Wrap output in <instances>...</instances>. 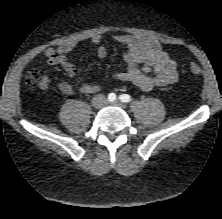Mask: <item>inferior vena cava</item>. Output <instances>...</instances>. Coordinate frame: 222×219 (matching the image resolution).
Masks as SVG:
<instances>
[{
    "label": "inferior vena cava",
    "mask_w": 222,
    "mask_h": 219,
    "mask_svg": "<svg viewBox=\"0 0 222 219\" xmlns=\"http://www.w3.org/2000/svg\"><path fill=\"white\" fill-rule=\"evenodd\" d=\"M97 98L104 102V99H105L104 95H98Z\"/></svg>",
    "instance_id": "1"
}]
</instances>
